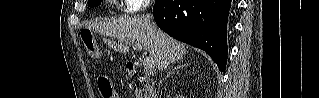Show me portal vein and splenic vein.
Here are the masks:
<instances>
[{"mask_svg":"<svg viewBox=\"0 0 319 98\" xmlns=\"http://www.w3.org/2000/svg\"><path fill=\"white\" fill-rule=\"evenodd\" d=\"M135 49L138 51H142L143 47L140 44H135ZM143 66L145 69H151L154 66V61L151 57L146 56L143 61Z\"/></svg>","mask_w":319,"mask_h":98,"instance_id":"portal-vein-and-splenic-vein-1","label":"portal vein and splenic vein"}]
</instances>
